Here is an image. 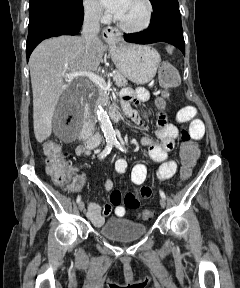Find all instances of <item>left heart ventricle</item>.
I'll return each mask as SVG.
<instances>
[{
	"label": "left heart ventricle",
	"mask_w": 240,
	"mask_h": 288,
	"mask_svg": "<svg viewBox=\"0 0 240 288\" xmlns=\"http://www.w3.org/2000/svg\"><path fill=\"white\" fill-rule=\"evenodd\" d=\"M148 9L144 0H128L127 6L119 19L128 26L142 25L147 18Z\"/></svg>",
	"instance_id": "obj_1"
}]
</instances>
